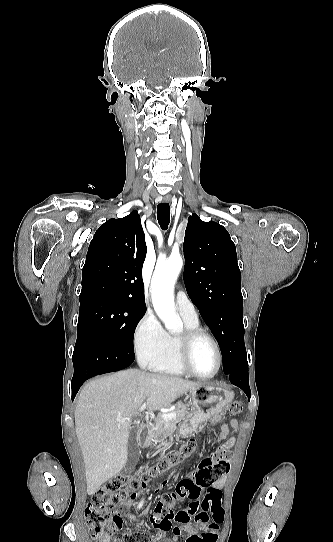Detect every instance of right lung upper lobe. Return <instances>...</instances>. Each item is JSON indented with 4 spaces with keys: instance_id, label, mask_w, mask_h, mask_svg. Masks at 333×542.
Here are the masks:
<instances>
[{
    "instance_id": "obj_1",
    "label": "right lung upper lobe",
    "mask_w": 333,
    "mask_h": 542,
    "mask_svg": "<svg viewBox=\"0 0 333 542\" xmlns=\"http://www.w3.org/2000/svg\"><path fill=\"white\" fill-rule=\"evenodd\" d=\"M146 253L145 235L136 210L102 224L87 252L80 305L101 300L146 308L142 280Z\"/></svg>"
}]
</instances>
